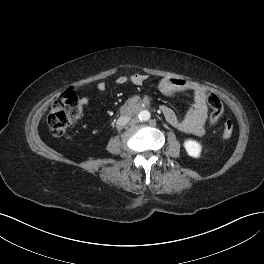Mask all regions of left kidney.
Instances as JSON below:
<instances>
[{
	"mask_svg": "<svg viewBox=\"0 0 264 264\" xmlns=\"http://www.w3.org/2000/svg\"><path fill=\"white\" fill-rule=\"evenodd\" d=\"M184 148L188 155L194 158H198L202 151L201 145L195 140H186L184 142Z\"/></svg>",
	"mask_w": 264,
	"mask_h": 264,
	"instance_id": "1",
	"label": "left kidney"
}]
</instances>
